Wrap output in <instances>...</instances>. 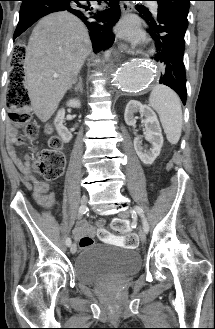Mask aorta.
Masks as SVG:
<instances>
[{"instance_id": "aorta-1", "label": "aorta", "mask_w": 215, "mask_h": 329, "mask_svg": "<svg viewBox=\"0 0 215 329\" xmlns=\"http://www.w3.org/2000/svg\"><path fill=\"white\" fill-rule=\"evenodd\" d=\"M154 74V68L149 63L120 61L113 66L110 79L116 88L125 92H135L145 89L154 78Z\"/></svg>"}]
</instances>
